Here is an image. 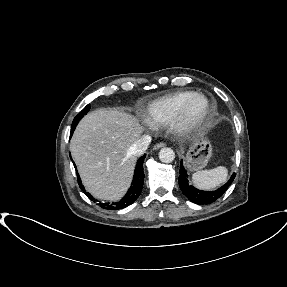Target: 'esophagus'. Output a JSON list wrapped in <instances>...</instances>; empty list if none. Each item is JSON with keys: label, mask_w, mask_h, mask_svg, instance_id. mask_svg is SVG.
I'll list each match as a JSON object with an SVG mask.
<instances>
[{"label": "esophagus", "mask_w": 287, "mask_h": 287, "mask_svg": "<svg viewBox=\"0 0 287 287\" xmlns=\"http://www.w3.org/2000/svg\"><path fill=\"white\" fill-rule=\"evenodd\" d=\"M165 146H166V144L164 142H159L153 146V149L157 150V149H160V148L165 147Z\"/></svg>", "instance_id": "obj_1"}]
</instances>
